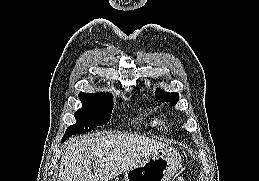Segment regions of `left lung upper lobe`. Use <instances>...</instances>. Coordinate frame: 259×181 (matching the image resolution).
I'll list each match as a JSON object with an SVG mask.
<instances>
[{"label": "left lung upper lobe", "instance_id": "1", "mask_svg": "<svg viewBox=\"0 0 259 181\" xmlns=\"http://www.w3.org/2000/svg\"><path fill=\"white\" fill-rule=\"evenodd\" d=\"M155 94L157 98L163 100L164 102H171L172 104H176L179 100L178 93H167L163 90L157 89Z\"/></svg>", "mask_w": 259, "mask_h": 181}]
</instances>
